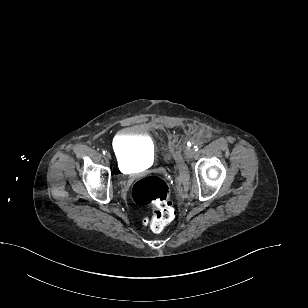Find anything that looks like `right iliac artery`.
Returning <instances> with one entry per match:
<instances>
[{
  "mask_svg": "<svg viewBox=\"0 0 308 308\" xmlns=\"http://www.w3.org/2000/svg\"><path fill=\"white\" fill-rule=\"evenodd\" d=\"M107 151H103V154H106Z\"/></svg>",
  "mask_w": 308,
  "mask_h": 308,
  "instance_id": "obj_1",
  "label": "right iliac artery"
}]
</instances>
